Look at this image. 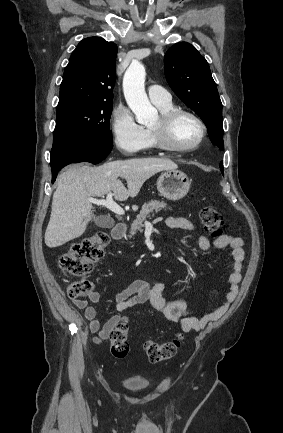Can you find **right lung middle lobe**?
Listing matches in <instances>:
<instances>
[{
    "instance_id": "dd1d6c3e",
    "label": "right lung middle lobe",
    "mask_w": 283,
    "mask_h": 433,
    "mask_svg": "<svg viewBox=\"0 0 283 433\" xmlns=\"http://www.w3.org/2000/svg\"><path fill=\"white\" fill-rule=\"evenodd\" d=\"M112 101L76 104L57 110L54 139L76 137L112 143L110 117Z\"/></svg>"
}]
</instances>
